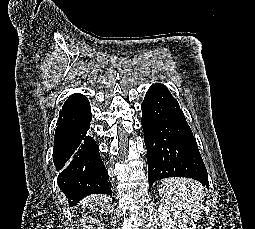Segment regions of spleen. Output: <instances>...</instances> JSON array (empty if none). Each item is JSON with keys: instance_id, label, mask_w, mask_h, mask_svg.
Here are the masks:
<instances>
[{"instance_id": "obj_1", "label": "spleen", "mask_w": 255, "mask_h": 229, "mask_svg": "<svg viewBox=\"0 0 255 229\" xmlns=\"http://www.w3.org/2000/svg\"><path fill=\"white\" fill-rule=\"evenodd\" d=\"M159 195L163 201L175 208L188 212L197 220L203 210V185L190 178H166L162 180Z\"/></svg>"}]
</instances>
